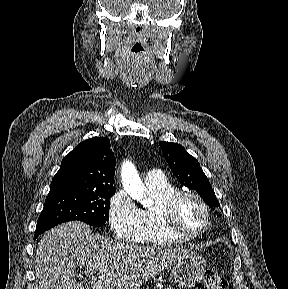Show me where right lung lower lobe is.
Listing matches in <instances>:
<instances>
[{"mask_svg":"<svg viewBox=\"0 0 288 289\" xmlns=\"http://www.w3.org/2000/svg\"><path fill=\"white\" fill-rule=\"evenodd\" d=\"M39 235H40L39 233H35L34 239H36Z\"/></svg>","mask_w":288,"mask_h":289,"instance_id":"right-lung-lower-lobe-1","label":"right lung lower lobe"}]
</instances>
